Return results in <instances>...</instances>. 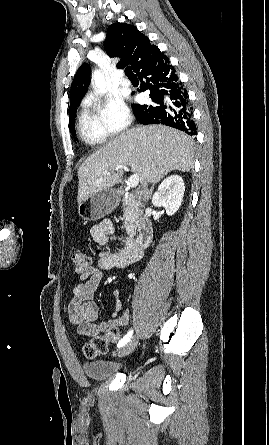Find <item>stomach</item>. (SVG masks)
Listing matches in <instances>:
<instances>
[{
	"mask_svg": "<svg viewBox=\"0 0 269 445\" xmlns=\"http://www.w3.org/2000/svg\"><path fill=\"white\" fill-rule=\"evenodd\" d=\"M119 202V192L107 188L78 204V214L84 220L97 221L116 209Z\"/></svg>",
	"mask_w": 269,
	"mask_h": 445,
	"instance_id": "1",
	"label": "stomach"
}]
</instances>
